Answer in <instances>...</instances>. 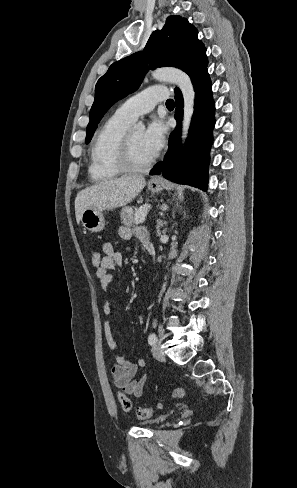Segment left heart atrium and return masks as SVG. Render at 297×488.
I'll return each instance as SVG.
<instances>
[{"instance_id":"left-heart-atrium-1","label":"left heart atrium","mask_w":297,"mask_h":488,"mask_svg":"<svg viewBox=\"0 0 297 488\" xmlns=\"http://www.w3.org/2000/svg\"><path fill=\"white\" fill-rule=\"evenodd\" d=\"M166 126L159 120H153L143 133V144L152 157L158 155L166 139Z\"/></svg>"}]
</instances>
